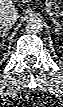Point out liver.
I'll use <instances>...</instances> for the list:
<instances>
[{"instance_id":"liver-1","label":"liver","mask_w":63,"mask_h":107,"mask_svg":"<svg viewBox=\"0 0 63 107\" xmlns=\"http://www.w3.org/2000/svg\"><path fill=\"white\" fill-rule=\"evenodd\" d=\"M12 1L9 0H1L0 1V11L3 9H8L16 12L15 6L12 5Z\"/></svg>"}]
</instances>
